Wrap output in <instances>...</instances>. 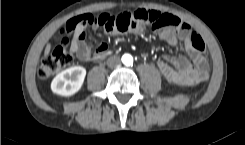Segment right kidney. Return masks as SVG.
Returning a JSON list of instances; mask_svg holds the SVG:
<instances>
[{"label": "right kidney", "mask_w": 245, "mask_h": 145, "mask_svg": "<svg viewBox=\"0 0 245 145\" xmlns=\"http://www.w3.org/2000/svg\"><path fill=\"white\" fill-rule=\"evenodd\" d=\"M86 69L74 66L56 75L51 82V90L61 96H71L78 92L84 82Z\"/></svg>", "instance_id": "ca27d5eb"}]
</instances>
